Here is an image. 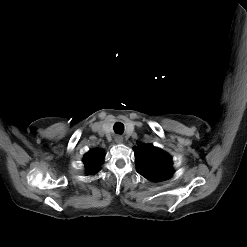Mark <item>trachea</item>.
<instances>
[{"label": "trachea", "instance_id": "trachea-1", "mask_svg": "<svg viewBox=\"0 0 247 247\" xmlns=\"http://www.w3.org/2000/svg\"><path fill=\"white\" fill-rule=\"evenodd\" d=\"M114 131L116 132V133H118V134H121V133H123V131H124V125L122 124V123H116L115 125H114Z\"/></svg>", "mask_w": 247, "mask_h": 247}]
</instances>
